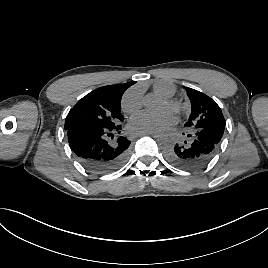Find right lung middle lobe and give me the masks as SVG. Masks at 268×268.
I'll use <instances>...</instances> for the list:
<instances>
[{
    "mask_svg": "<svg viewBox=\"0 0 268 268\" xmlns=\"http://www.w3.org/2000/svg\"><path fill=\"white\" fill-rule=\"evenodd\" d=\"M123 120L121 97L94 90L80 99L70 110L66 117L65 130L75 126L107 129Z\"/></svg>",
    "mask_w": 268,
    "mask_h": 268,
    "instance_id": "obj_1",
    "label": "right lung middle lobe"
}]
</instances>
